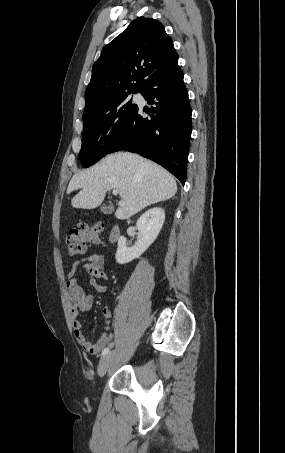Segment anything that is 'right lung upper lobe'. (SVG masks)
Wrapping results in <instances>:
<instances>
[{
    "instance_id": "obj_1",
    "label": "right lung upper lobe",
    "mask_w": 285,
    "mask_h": 453,
    "mask_svg": "<svg viewBox=\"0 0 285 453\" xmlns=\"http://www.w3.org/2000/svg\"><path fill=\"white\" fill-rule=\"evenodd\" d=\"M177 62L178 54L163 25L151 18L135 19L94 63L84 113L112 98L141 92L149 80Z\"/></svg>"
}]
</instances>
